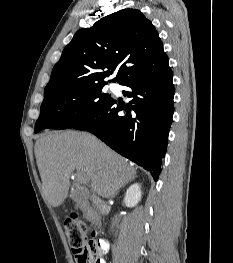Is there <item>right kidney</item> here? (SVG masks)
Instances as JSON below:
<instances>
[{
    "instance_id": "ca27d5eb",
    "label": "right kidney",
    "mask_w": 233,
    "mask_h": 263,
    "mask_svg": "<svg viewBox=\"0 0 233 263\" xmlns=\"http://www.w3.org/2000/svg\"><path fill=\"white\" fill-rule=\"evenodd\" d=\"M141 186L138 183L131 185L126 191L124 203L127 207L132 208L136 206L141 200Z\"/></svg>"
}]
</instances>
